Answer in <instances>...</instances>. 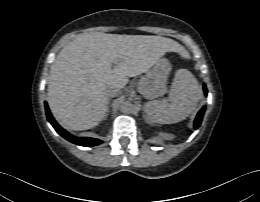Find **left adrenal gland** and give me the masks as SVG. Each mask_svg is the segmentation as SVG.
<instances>
[{
  "label": "left adrenal gland",
  "mask_w": 260,
  "mask_h": 202,
  "mask_svg": "<svg viewBox=\"0 0 260 202\" xmlns=\"http://www.w3.org/2000/svg\"><path fill=\"white\" fill-rule=\"evenodd\" d=\"M143 117H144V119H145L147 122H149V120H148V118L146 117L145 114L143 115Z\"/></svg>",
  "instance_id": "left-adrenal-gland-1"
}]
</instances>
